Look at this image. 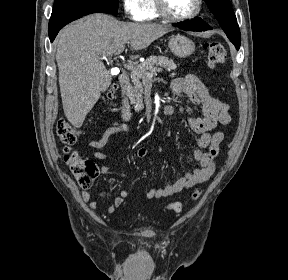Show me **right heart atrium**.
Here are the masks:
<instances>
[{"label": "right heart atrium", "instance_id": "obj_1", "mask_svg": "<svg viewBox=\"0 0 288 280\" xmlns=\"http://www.w3.org/2000/svg\"><path fill=\"white\" fill-rule=\"evenodd\" d=\"M146 0H121L122 9L130 20L141 21L145 14Z\"/></svg>", "mask_w": 288, "mask_h": 280}]
</instances>
